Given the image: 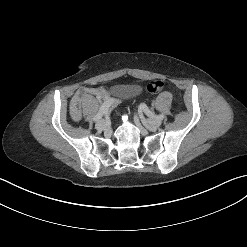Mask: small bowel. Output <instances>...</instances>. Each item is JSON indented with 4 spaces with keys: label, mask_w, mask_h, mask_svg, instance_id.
I'll list each match as a JSON object with an SVG mask.
<instances>
[{
    "label": "small bowel",
    "mask_w": 247,
    "mask_h": 247,
    "mask_svg": "<svg viewBox=\"0 0 247 247\" xmlns=\"http://www.w3.org/2000/svg\"><path fill=\"white\" fill-rule=\"evenodd\" d=\"M89 95H96L97 97L104 98L106 97V89L103 87H83L78 89L74 94L70 104L71 115L74 120H79L81 118V103Z\"/></svg>",
    "instance_id": "obj_1"
}]
</instances>
